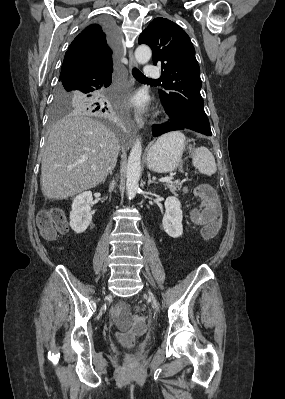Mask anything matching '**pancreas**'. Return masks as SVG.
<instances>
[{
	"label": "pancreas",
	"mask_w": 285,
	"mask_h": 399,
	"mask_svg": "<svg viewBox=\"0 0 285 399\" xmlns=\"http://www.w3.org/2000/svg\"><path fill=\"white\" fill-rule=\"evenodd\" d=\"M165 186L173 193L176 194L182 187V182H167Z\"/></svg>",
	"instance_id": "pancreas-1"
}]
</instances>
